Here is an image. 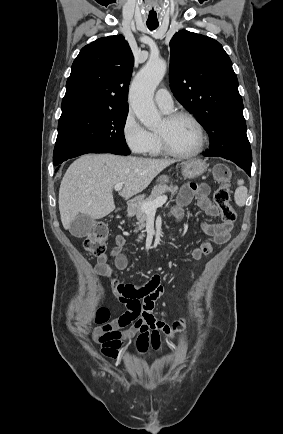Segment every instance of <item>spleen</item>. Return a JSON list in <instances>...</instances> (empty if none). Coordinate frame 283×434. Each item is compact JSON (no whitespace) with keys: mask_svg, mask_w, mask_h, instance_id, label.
Listing matches in <instances>:
<instances>
[{"mask_svg":"<svg viewBox=\"0 0 283 434\" xmlns=\"http://www.w3.org/2000/svg\"><path fill=\"white\" fill-rule=\"evenodd\" d=\"M244 181L238 180V188L235 191L234 199L238 206H244L247 198V188L243 186Z\"/></svg>","mask_w":283,"mask_h":434,"instance_id":"spleen-1","label":"spleen"}]
</instances>
